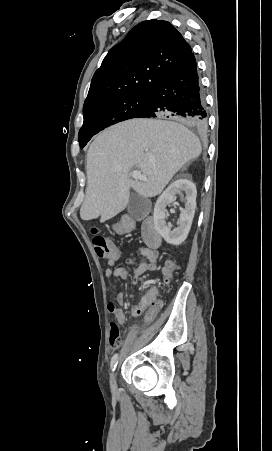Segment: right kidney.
I'll return each mask as SVG.
<instances>
[{"mask_svg":"<svg viewBox=\"0 0 272 451\" xmlns=\"http://www.w3.org/2000/svg\"><path fill=\"white\" fill-rule=\"evenodd\" d=\"M176 194L181 196L185 202V210H182L180 218L177 222L178 227L171 229L170 224L167 226L168 212L166 206L173 204L176 200ZM196 186L190 180H176L172 182L165 192L158 198L154 208V224L160 235L164 237L167 243L179 245L185 241L190 227L192 226L195 210H196Z\"/></svg>","mask_w":272,"mask_h":451,"instance_id":"1","label":"right kidney"}]
</instances>
